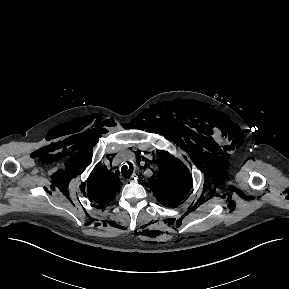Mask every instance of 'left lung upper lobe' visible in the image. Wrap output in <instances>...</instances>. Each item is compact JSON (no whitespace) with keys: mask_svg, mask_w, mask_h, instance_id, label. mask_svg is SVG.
<instances>
[{"mask_svg":"<svg viewBox=\"0 0 289 289\" xmlns=\"http://www.w3.org/2000/svg\"><path fill=\"white\" fill-rule=\"evenodd\" d=\"M159 174L149 179L148 186L157 200L164 206L174 207L187 195L191 187V175L178 160L166 153L160 154Z\"/></svg>","mask_w":289,"mask_h":289,"instance_id":"left-lung-upper-lobe-1","label":"left lung upper lobe"}]
</instances>
